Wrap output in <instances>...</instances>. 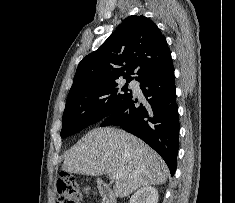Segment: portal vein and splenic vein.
Returning a JSON list of instances; mask_svg holds the SVG:
<instances>
[{"label":"portal vein and splenic vein","instance_id":"1","mask_svg":"<svg viewBox=\"0 0 235 203\" xmlns=\"http://www.w3.org/2000/svg\"><path fill=\"white\" fill-rule=\"evenodd\" d=\"M120 176H121V174H120L119 172H115V173H112V174H111V178H112V179H115V180L118 179V178H120Z\"/></svg>","mask_w":235,"mask_h":203}]
</instances>
